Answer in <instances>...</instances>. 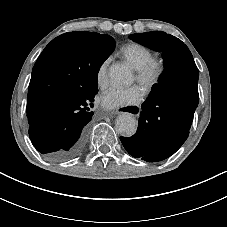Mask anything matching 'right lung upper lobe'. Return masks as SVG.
Wrapping results in <instances>:
<instances>
[{
	"instance_id": "cb5924a9",
	"label": "right lung upper lobe",
	"mask_w": 227,
	"mask_h": 227,
	"mask_svg": "<svg viewBox=\"0 0 227 227\" xmlns=\"http://www.w3.org/2000/svg\"><path fill=\"white\" fill-rule=\"evenodd\" d=\"M101 34L76 31L53 39L36 61L28 87L27 117L29 125H39L60 97L76 96L83 84L81 70L60 54V44L69 38L93 39Z\"/></svg>"
}]
</instances>
